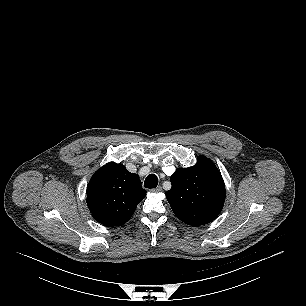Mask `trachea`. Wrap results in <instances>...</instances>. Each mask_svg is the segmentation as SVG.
<instances>
[{
    "label": "trachea",
    "mask_w": 306,
    "mask_h": 306,
    "mask_svg": "<svg viewBox=\"0 0 306 306\" xmlns=\"http://www.w3.org/2000/svg\"><path fill=\"white\" fill-rule=\"evenodd\" d=\"M158 185V177L155 174H150L146 177L144 182V187L148 189H152L157 187Z\"/></svg>",
    "instance_id": "obj_1"
}]
</instances>
